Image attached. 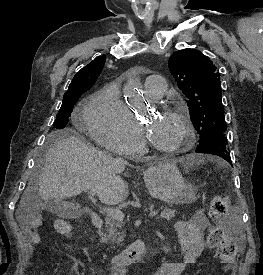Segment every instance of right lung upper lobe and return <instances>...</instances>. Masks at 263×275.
Listing matches in <instances>:
<instances>
[{"mask_svg": "<svg viewBox=\"0 0 263 275\" xmlns=\"http://www.w3.org/2000/svg\"><path fill=\"white\" fill-rule=\"evenodd\" d=\"M105 61H106L105 55L99 56L95 58L93 61H91L88 65L83 67L74 76L66 93H70V92L78 91L82 89L89 90L94 85V83L96 82V79L100 75L104 67Z\"/></svg>", "mask_w": 263, "mask_h": 275, "instance_id": "obj_1", "label": "right lung upper lobe"}]
</instances>
